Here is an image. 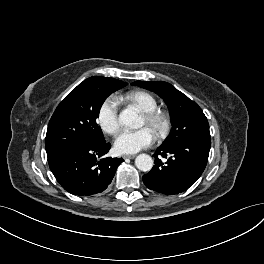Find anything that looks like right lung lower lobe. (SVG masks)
<instances>
[{
	"label": "right lung lower lobe",
	"instance_id": "1",
	"mask_svg": "<svg viewBox=\"0 0 264 264\" xmlns=\"http://www.w3.org/2000/svg\"><path fill=\"white\" fill-rule=\"evenodd\" d=\"M109 143H78L47 154L50 170L69 193L89 196L104 191L111 183L122 158L104 157Z\"/></svg>",
	"mask_w": 264,
	"mask_h": 264
}]
</instances>
